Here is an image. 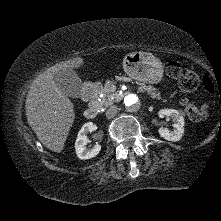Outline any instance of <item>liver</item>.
Listing matches in <instances>:
<instances>
[{"label":"liver","instance_id":"1","mask_svg":"<svg viewBox=\"0 0 221 221\" xmlns=\"http://www.w3.org/2000/svg\"><path fill=\"white\" fill-rule=\"evenodd\" d=\"M81 57L62 61L48 68L32 82L25 108L29 125L39 141L51 151L63 150L75 119L71 100L58 88L54 76L59 70L79 68Z\"/></svg>","mask_w":221,"mask_h":221}]
</instances>
